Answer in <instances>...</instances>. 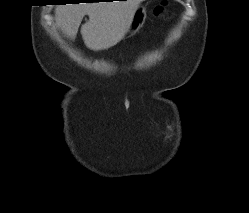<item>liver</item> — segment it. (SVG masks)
<instances>
[{
    "label": "liver",
    "instance_id": "obj_1",
    "mask_svg": "<svg viewBox=\"0 0 249 213\" xmlns=\"http://www.w3.org/2000/svg\"><path fill=\"white\" fill-rule=\"evenodd\" d=\"M143 1L58 5L55 8L56 22L68 38L75 39L83 17L88 15L89 20L81 27L86 47L93 51L107 50L124 38L136 8Z\"/></svg>",
    "mask_w": 249,
    "mask_h": 213
}]
</instances>
